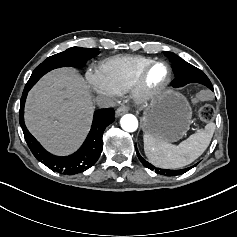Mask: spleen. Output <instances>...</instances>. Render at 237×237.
I'll list each match as a JSON object with an SVG mask.
<instances>
[{"label":"spleen","instance_id":"spleen-1","mask_svg":"<svg viewBox=\"0 0 237 237\" xmlns=\"http://www.w3.org/2000/svg\"><path fill=\"white\" fill-rule=\"evenodd\" d=\"M215 129L208 123L205 130L192 134L179 145H173L151 134H144V151L149 161L162 168L175 169L190 164L207 148Z\"/></svg>","mask_w":237,"mask_h":237}]
</instances>
